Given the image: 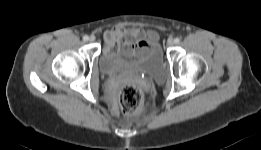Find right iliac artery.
Segmentation results:
<instances>
[{
	"mask_svg": "<svg viewBox=\"0 0 261 150\" xmlns=\"http://www.w3.org/2000/svg\"><path fill=\"white\" fill-rule=\"evenodd\" d=\"M83 40L84 41H88L89 40V37L87 35L83 36Z\"/></svg>",
	"mask_w": 261,
	"mask_h": 150,
	"instance_id": "right-iliac-artery-1",
	"label": "right iliac artery"
}]
</instances>
